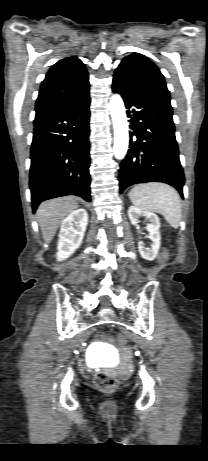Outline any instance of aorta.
Segmentation results:
<instances>
[{"instance_id": "1", "label": "aorta", "mask_w": 208, "mask_h": 461, "mask_svg": "<svg viewBox=\"0 0 208 461\" xmlns=\"http://www.w3.org/2000/svg\"><path fill=\"white\" fill-rule=\"evenodd\" d=\"M109 108L114 129L113 151L115 158L121 160L128 150L129 132L125 106L120 95L115 94L110 98Z\"/></svg>"}]
</instances>
